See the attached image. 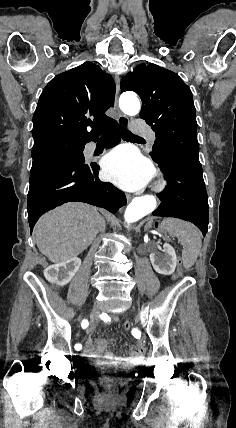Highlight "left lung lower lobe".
<instances>
[{
  "label": "left lung lower lobe",
  "mask_w": 236,
  "mask_h": 428,
  "mask_svg": "<svg viewBox=\"0 0 236 428\" xmlns=\"http://www.w3.org/2000/svg\"><path fill=\"white\" fill-rule=\"evenodd\" d=\"M159 166L168 186L158 194L161 204L152 214L190 221L206 235L209 205L201 164L167 156Z\"/></svg>",
  "instance_id": "obj_1"
}]
</instances>
